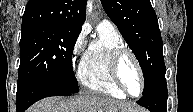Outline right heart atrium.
<instances>
[{
	"instance_id": "obj_1",
	"label": "right heart atrium",
	"mask_w": 193,
	"mask_h": 112,
	"mask_svg": "<svg viewBox=\"0 0 193 112\" xmlns=\"http://www.w3.org/2000/svg\"><path fill=\"white\" fill-rule=\"evenodd\" d=\"M88 31L82 28L75 37L70 51V62L73 69L80 67L87 51Z\"/></svg>"
}]
</instances>
